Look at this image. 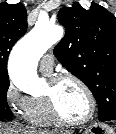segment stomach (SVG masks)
<instances>
[{
    "instance_id": "1",
    "label": "stomach",
    "mask_w": 116,
    "mask_h": 134,
    "mask_svg": "<svg viewBox=\"0 0 116 134\" xmlns=\"http://www.w3.org/2000/svg\"><path fill=\"white\" fill-rule=\"evenodd\" d=\"M64 134H73V132H65ZM84 134H115V132L106 124L95 123L86 128Z\"/></svg>"
}]
</instances>
